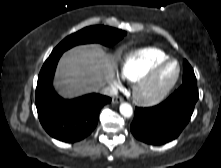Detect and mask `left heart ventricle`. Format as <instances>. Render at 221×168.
Returning <instances> with one entry per match:
<instances>
[{
    "label": "left heart ventricle",
    "instance_id": "b2bd125f",
    "mask_svg": "<svg viewBox=\"0 0 221 168\" xmlns=\"http://www.w3.org/2000/svg\"><path fill=\"white\" fill-rule=\"evenodd\" d=\"M175 71H176L175 64H169L166 67H164L163 70L158 75V77L154 83V87L161 86V85L165 84L166 82H168L175 74Z\"/></svg>",
    "mask_w": 221,
    "mask_h": 168
}]
</instances>
